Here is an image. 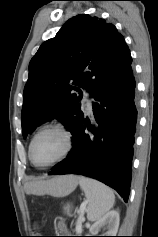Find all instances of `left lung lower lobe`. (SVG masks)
I'll use <instances>...</instances> for the list:
<instances>
[{"label": "left lung lower lobe", "mask_w": 158, "mask_h": 237, "mask_svg": "<svg viewBox=\"0 0 158 237\" xmlns=\"http://www.w3.org/2000/svg\"><path fill=\"white\" fill-rule=\"evenodd\" d=\"M135 86L130 64L95 93L93 123L83 117L72 134V150L49 174L97 179L128 201L137 122Z\"/></svg>", "instance_id": "1"}]
</instances>
